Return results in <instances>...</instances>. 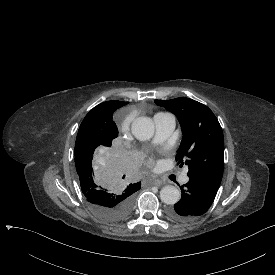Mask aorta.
Listing matches in <instances>:
<instances>
[{"instance_id": "obj_1", "label": "aorta", "mask_w": 275, "mask_h": 275, "mask_svg": "<svg viewBox=\"0 0 275 275\" xmlns=\"http://www.w3.org/2000/svg\"><path fill=\"white\" fill-rule=\"evenodd\" d=\"M132 133L140 141H146L153 138L155 134V125L152 119L148 117H139L132 124ZM161 200L167 205L177 203L181 198L180 191L172 186H165L160 191Z\"/></svg>"}]
</instances>
